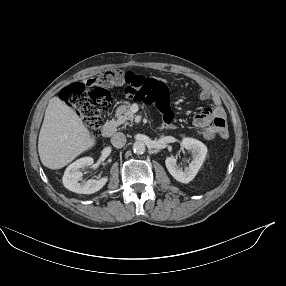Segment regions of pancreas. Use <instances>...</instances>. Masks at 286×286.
Segmentation results:
<instances>
[{"label": "pancreas", "mask_w": 286, "mask_h": 286, "mask_svg": "<svg viewBox=\"0 0 286 286\" xmlns=\"http://www.w3.org/2000/svg\"><path fill=\"white\" fill-rule=\"evenodd\" d=\"M116 124H128V121H132L134 119V114L130 110V104L125 103L120 105L116 110Z\"/></svg>", "instance_id": "pancreas-1"}]
</instances>
